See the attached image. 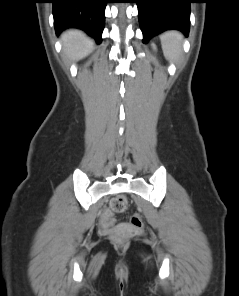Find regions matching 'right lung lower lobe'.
Instances as JSON below:
<instances>
[{
    "instance_id": "right-lung-lower-lobe-1",
    "label": "right lung lower lobe",
    "mask_w": 239,
    "mask_h": 296,
    "mask_svg": "<svg viewBox=\"0 0 239 296\" xmlns=\"http://www.w3.org/2000/svg\"><path fill=\"white\" fill-rule=\"evenodd\" d=\"M57 34L67 28H79L98 43L105 22L107 0H51Z\"/></svg>"
}]
</instances>
